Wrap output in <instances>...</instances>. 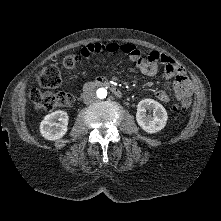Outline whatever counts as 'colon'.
I'll return each instance as SVG.
<instances>
[{
    "label": "colon",
    "instance_id": "1",
    "mask_svg": "<svg viewBox=\"0 0 221 221\" xmlns=\"http://www.w3.org/2000/svg\"><path fill=\"white\" fill-rule=\"evenodd\" d=\"M78 63V56L67 54L62 64L67 69L74 68ZM39 85L45 89L57 88L61 85L62 77L56 66H48L42 70L38 78ZM30 100L38 111H52L59 107H65L73 102V96L67 92H44L34 88L29 93ZM191 106V99L185 98L179 103L171 106V111L177 114H184Z\"/></svg>",
    "mask_w": 221,
    "mask_h": 221
}]
</instances>
